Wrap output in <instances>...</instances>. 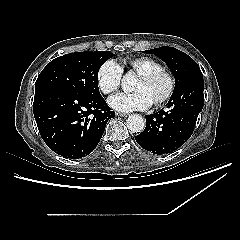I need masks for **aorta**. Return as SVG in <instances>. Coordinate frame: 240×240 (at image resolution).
<instances>
[{
    "label": "aorta",
    "mask_w": 240,
    "mask_h": 240,
    "mask_svg": "<svg viewBox=\"0 0 240 240\" xmlns=\"http://www.w3.org/2000/svg\"><path fill=\"white\" fill-rule=\"evenodd\" d=\"M135 77L132 73H127L122 79V88L124 91L131 90ZM126 125L133 133H140L145 128V120L139 114H132L126 120Z\"/></svg>",
    "instance_id": "1"
}]
</instances>
